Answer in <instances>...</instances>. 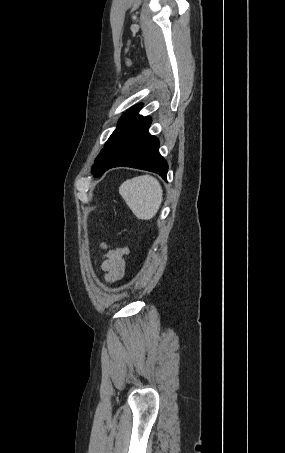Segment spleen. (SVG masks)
<instances>
[{
	"label": "spleen",
	"mask_w": 285,
	"mask_h": 453,
	"mask_svg": "<svg viewBox=\"0 0 285 453\" xmlns=\"http://www.w3.org/2000/svg\"><path fill=\"white\" fill-rule=\"evenodd\" d=\"M119 193L134 215L142 220L152 219L163 200L159 181L150 175L126 180L119 187Z\"/></svg>",
	"instance_id": "1"
}]
</instances>
